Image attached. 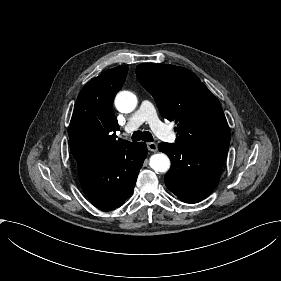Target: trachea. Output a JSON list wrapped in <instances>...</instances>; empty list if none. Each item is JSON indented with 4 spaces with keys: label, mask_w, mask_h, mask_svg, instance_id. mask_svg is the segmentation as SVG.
<instances>
[{
    "label": "trachea",
    "mask_w": 281,
    "mask_h": 281,
    "mask_svg": "<svg viewBox=\"0 0 281 281\" xmlns=\"http://www.w3.org/2000/svg\"><path fill=\"white\" fill-rule=\"evenodd\" d=\"M133 142L143 140L145 142H152L153 137L152 134L148 131L141 132V131H135L131 137Z\"/></svg>",
    "instance_id": "obj_1"
}]
</instances>
